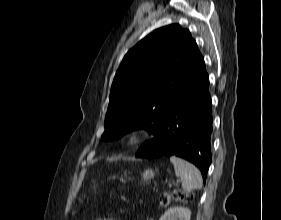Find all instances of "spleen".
<instances>
[{
  "label": "spleen",
  "instance_id": "spleen-1",
  "mask_svg": "<svg viewBox=\"0 0 281 220\" xmlns=\"http://www.w3.org/2000/svg\"><path fill=\"white\" fill-rule=\"evenodd\" d=\"M170 161L174 165L175 174L180 177L182 187L186 191L201 189L203 180L200 171L190 162L176 156H171Z\"/></svg>",
  "mask_w": 281,
  "mask_h": 220
}]
</instances>
